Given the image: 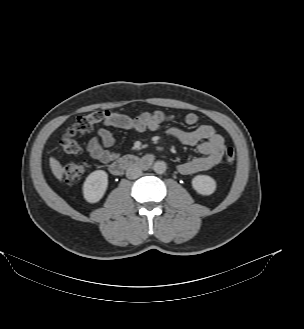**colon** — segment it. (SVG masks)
<instances>
[{
  "label": "colon",
  "mask_w": 304,
  "mask_h": 329,
  "mask_svg": "<svg viewBox=\"0 0 304 329\" xmlns=\"http://www.w3.org/2000/svg\"><path fill=\"white\" fill-rule=\"evenodd\" d=\"M109 111H95L87 115L79 116L73 125L63 134L60 146L66 154H77L81 147L76 140L77 136L83 135L95 126L101 125L110 117ZM236 153L234 149L228 148L225 154L226 163L231 165L235 162ZM86 162L70 163L62 167V176L65 183L70 184L79 180L86 171Z\"/></svg>",
  "instance_id": "colon-1"
}]
</instances>
